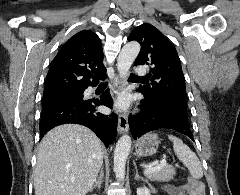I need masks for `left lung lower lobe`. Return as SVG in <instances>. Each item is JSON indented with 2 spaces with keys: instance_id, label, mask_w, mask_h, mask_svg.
I'll return each instance as SVG.
<instances>
[{
  "instance_id": "obj_1",
  "label": "left lung lower lobe",
  "mask_w": 240,
  "mask_h": 195,
  "mask_svg": "<svg viewBox=\"0 0 240 195\" xmlns=\"http://www.w3.org/2000/svg\"><path fill=\"white\" fill-rule=\"evenodd\" d=\"M141 113L129 117V127L134 139L143 134L167 128L179 131L193 140L187 111L174 105H150L141 101Z\"/></svg>"
}]
</instances>
